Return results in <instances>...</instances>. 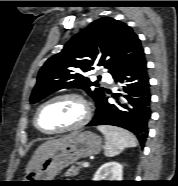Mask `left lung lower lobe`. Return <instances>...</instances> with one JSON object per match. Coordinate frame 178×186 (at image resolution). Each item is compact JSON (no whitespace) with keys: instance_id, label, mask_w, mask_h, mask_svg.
Returning a JSON list of instances; mask_svg holds the SVG:
<instances>
[{"instance_id":"1","label":"left lung lower lobe","mask_w":178,"mask_h":186,"mask_svg":"<svg viewBox=\"0 0 178 186\" xmlns=\"http://www.w3.org/2000/svg\"><path fill=\"white\" fill-rule=\"evenodd\" d=\"M113 78L119 82H127L124 87L127 103L121 105L122 109L110 104L107 97L110 92L106 91L88 126L113 125L125 128L134 133L143 146L148 135V121L151 117L150 84L144 55Z\"/></svg>"}]
</instances>
